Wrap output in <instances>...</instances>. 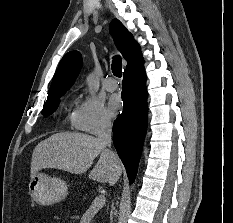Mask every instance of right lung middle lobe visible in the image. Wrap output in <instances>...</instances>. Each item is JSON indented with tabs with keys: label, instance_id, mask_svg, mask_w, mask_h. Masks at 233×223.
Returning a JSON list of instances; mask_svg holds the SVG:
<instances>
[{
	"label": "right lung middle lobe",
	"instance_id": "dd1d6c3e",
	"mask_svg": "<svg viewBox=\"0 0 233 223\" xmlns=\"http://www.w3.org/2000/svg\"><path fill=\"white\" fill-rule=\"evenodd\" d=\"M58 102L52 103V104H48V105H44V108L42 110V114L44 116H49L50 114H52L58 107Z\"/></svg>",
	"mask_w": 233,
	"mask_h": 223
}]
</instances>
